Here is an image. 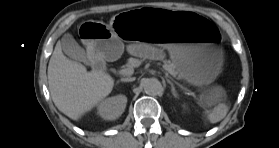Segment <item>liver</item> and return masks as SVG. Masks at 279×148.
I'll return each instance as SVG.
<instances>
[{
	"instance_id": "1",
	"label": "liver",
	"mask_w": 279,
	"mask_h": 148,
	"mask_svg": "<svg viewBox=\"0 0 279 148\" xmlns=\"http://www.w3.org/2000/svg\"><path fill=\"white\" fill-rule=\"evenodd\" d=\"M48 83L58 110L79 121L111 93L114 79L101 70L89 72L84 65L70 60L57 42L48 65Z\"/></svg>"
}]
</instances>
